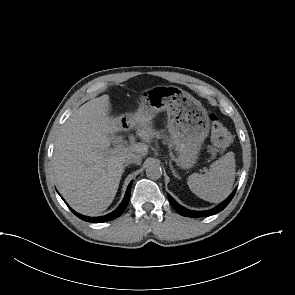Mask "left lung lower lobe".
<instances>
[{"label":"left lung lower lobe","instance_id":"left-lung-lower-lobe-1","mask_svg":"<svg viewBox=\"0 0 295 295\" xmlns=\"http://www.w3.org/2000/svg\"><path fill=\"white\" fill-rule=\"evenodd\" d=\"M236 190L233 191V193L229 196L228 199H226L223 203L218 205L217 207L207 210V211H192L189 209L184 208L183 206L179 205L169 194L168 199L173 208L180 214L186 217H206V216H211L214 215L220 211H222L232 200Z\"/></svg>","mask_w":295,"mask_h":295}]
</instances>
